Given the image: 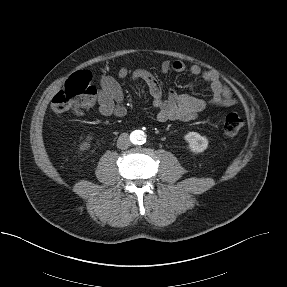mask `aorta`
Segmentation results:
<instances>
[{
    "instance_id": "762f6f07",
    "label": "aorta",
    "mask_w": 287,
    "mask_h": 287,
    "mask_svg": "<svg viewBox=\"0 0 287 287\" xmlns=\"http://www.w3.org/2000/svg\"><path fill=\"white\" fill-rule=\"evenodd\" d=\"M130 137L134 143L141 144L145 142V134L140 130L133 131Z\"/></svg>"
}]
</instances>
